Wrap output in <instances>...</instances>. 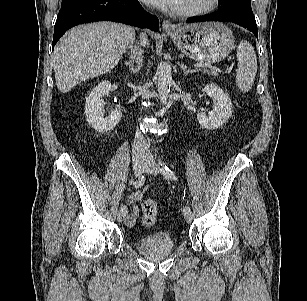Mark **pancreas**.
Instances as JSON below:
<instances>
[{
	"mask_svg": "<svg viewBox=\"0 0 307 301\" xmlns=\"http://www.w3.org/2000/svg\"><path fill=\"white\" fill-rule=\"evenodd\" d=\"M204 72L208 73L209 75H212V76H217V70L215 68H212L210 71L208 70H204Z\"/></svg>",
	"mask_w": 307,
	"mask_h": 301,
	"instance_id": "1",
	"label": "pancreas"
}]
</instances>
